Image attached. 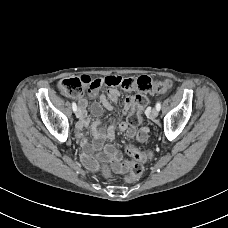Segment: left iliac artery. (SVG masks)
Returning a JSON list of instances; mask_svg holds the SVG:
<instances>
[{
    "instance_id": "left-iliac-artery-1",
    "label": "left iliac artery",
    "mask_w": 228,
    "mask_h": 228,
    "mask_svg": "<svg viewBox=\"0 0 228 228\" xmlns=\"http://www.w3.org/2000/svg\"><path fill=\"white\" fill-rule=\"evenodd\" d=\"M156 109L159 111L161 109V103L160 102H157L156 103Z\"/></svg>"
}]
</instances>
